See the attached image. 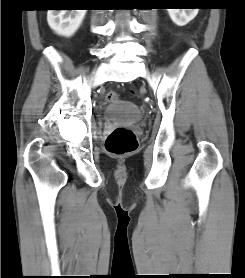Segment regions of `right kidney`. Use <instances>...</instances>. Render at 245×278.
<instances>
[{
    "mask_svg": "<svg viewBox=\"0 0 245 278\" xmlns=\"http://www.w3.org/2000/svg\"><path fill=\"white\" fill-rule=\"evenodd\" d=\"M87 10H48L47 21L58 35L72 36L80 27Z\"/></svg>",
    "mask_w": 245,
    "mask_h": 278,
    "instance_id": "ca27d5eb",
    "label": "right kidney"
}]
</instances>
